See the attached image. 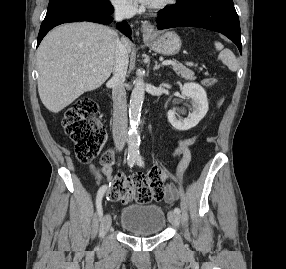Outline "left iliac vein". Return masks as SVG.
Here are the masks:
<instances>
[{"label":"left iliac vein","instance_id":"4c4485c4","mask_svg":"<svg viewBox=\"0 0 286 269\" xmlns=\"http://www.w3.org/2000/svg\"><path fill=\"white\" fill-rule=\"evenodd\" d=\"M168 220L173 225L179 224V215L175 213L174 211H169L168 213Z\"/></svg>","mask_w":286,"mask_h":269}]
</instances>
